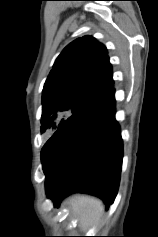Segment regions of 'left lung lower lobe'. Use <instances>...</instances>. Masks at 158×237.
<instances>
[{
    "mask_svg": "<svg viewBox=\"0 0 158 237\" xmlns=\"http://www.w3.org/2000/svg\"><path fill=\"white\" fill-rule=\"evenodd\" d=\"M114 115L111 88L66 119L42 148L46 192L56 207L73 192L98 196L107 209L113 203L123 156Z\"/></svg>",
    "mask_w": 158,
    "mask_h": 237,
    "instance_id": "left-lung-lower-lobe-1",
    "label": "left lung lower lobe"
}]
</instances>
